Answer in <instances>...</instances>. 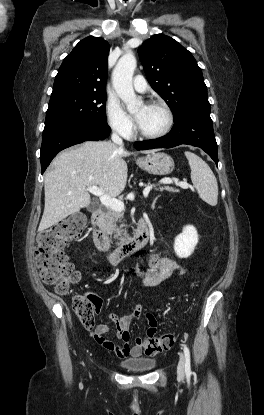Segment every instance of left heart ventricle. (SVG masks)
<instances>
[{
  "label": "left heart ventricle",
  "instance_id": "left-heart-ventricle-1",
  "mask_svg": "<svg viewBox=\"0 0 264 415\" xmlns=\"http://www.w3.org/2000/svg\"><path fill=\"white\" fill-rule=\"evenodd\" d=\"M141 132L153 134L161 131L166 124L165 112L156 106L142 105L134 113Z\"/></svg>",
  "mask_w": 264,
  "mask_h": 415
}]
</instances>
